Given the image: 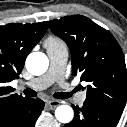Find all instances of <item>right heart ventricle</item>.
<instances>
[{
  "mask_svg": "<svg viewBox=\"0 0 127 127\" xmlns=\"http://www.w3.org/2000/svg\"><path fill=\"white\" fill-rule=\"evenodd\" d=\"M45 47L47 49H52V48H58V47H64L63 42L54 36H49L44 43Z\"/></svg>",
  "mask_w": 127,
  "mask_h": 127,
  "instance_id": "e07e8e85",
  "label": "right heart ventricle"
}]
</instances>
